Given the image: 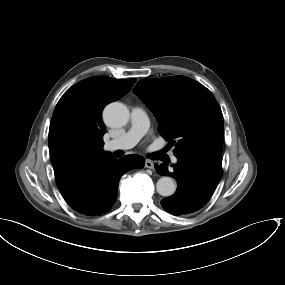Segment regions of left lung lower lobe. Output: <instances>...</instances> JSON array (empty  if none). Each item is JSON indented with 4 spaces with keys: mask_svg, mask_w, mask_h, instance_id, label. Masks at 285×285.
<instances>
[{
    "mask_svg": "<svg viewBox=\"0 0 285 285\" xmlns=\"http://www.w3.org/2000/svg\"><path fill=\"white\" fill-rule=\"evenodd\" d=\"M173 171L167 163L156 165V171L170 175L177 181L175 194L161 201L165 211L172 215H188L200 210L212 196L223 171L221 162L203 157H177Z\"/></svg>",
    "mask_w": 285,
    "mask_h": 285,
    "instance_id": "obj_1",
    "label": "left lung lower lobe"
}]
</instances>
